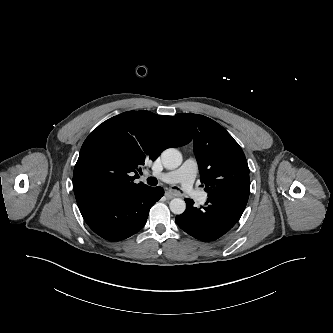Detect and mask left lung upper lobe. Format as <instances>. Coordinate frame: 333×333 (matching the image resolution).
Returning <instances> with one entry per match:
<instances>
[{
    "label": "left lung upper lobe",
    "mask_w": 333,
    "mask_h": 333,
    "mask_svg": "<svg viewBox=\"0 0 333 333\" xmlns=\"http://www.w3.org/2000/svg\"><path fill=\"white\" fill-rule=\"evenodd\" d=\"M176 116L193 133L194 152L206 192L225 181L249 176L241 147L221 125L203 115L180 113Z\"/></svg>",
    "instance_id": "1"
}]
</instances>
